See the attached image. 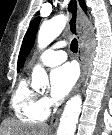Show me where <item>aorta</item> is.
Segmentation results:
<instances>
[{
    "mask_svg": "<svg viewBox=\"0 0 112 135\" xmlns=\"http://www.w3.org/2000/svg\"><path fill=\"white\" fill-rule=\"evenodd\" d=\"M67 22L64 15H57L45 22L38 32V46L40 49L47 47L63 31ZM32 85L38 88H47L49 80L46 71L40 65H36L32 73ZM82 98L75 95L66 103L60 118L57 135H74L78 118L81 113Z\"/></svg>",
    "mask_w": 112,
    "mask_h": 135,
    "instance_id": "aorta-1",
    "label": "aorta"
}]
</instances>
